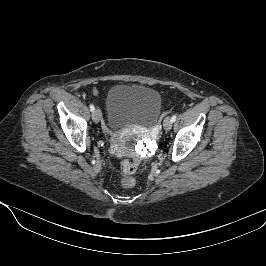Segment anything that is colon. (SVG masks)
<instances>
[{"mask_svg": "<svg viewBox=\"0 0 266 266\" xmlns=\"http://www.w3.org/2000/svg\"><path fill=\"white\" fill-rule=\"evenodd\" d=\"M139 157L125 158L120 163V173L117 177L119 184L125 188H131L136 181L132 174L136 171L139 165Z\"/></svg>", "mask_w": 266, "mask_h": 266, "instance_id": "5ec220e1", "label": "colon"}]
</instances>
